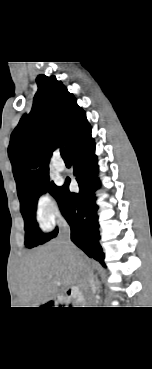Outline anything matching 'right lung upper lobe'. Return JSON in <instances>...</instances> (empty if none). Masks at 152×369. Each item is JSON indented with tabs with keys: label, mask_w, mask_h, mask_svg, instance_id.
I'll return each mask as SVG.
<instances>
[{
	"label": "right lung upper lobe",
	"mask_w": 152,
	"mask_h": 369,
	"mask_svg": "<svg viewBox=\"0 0 152 369\" xmlns=\"http://www.w3.org/2000/svg\"><path fill=\"white\" fill-rule=\"evenodd\" d=\"M38 91L29 114H24L11 134L8 147L19 199L48 175L52 152L72 145L91 126L75 97L55 76L37 77Z\"/></svg>",
	"instance_id": "cb5924a9"
}]
</instances>
